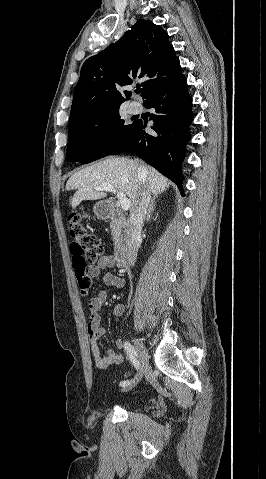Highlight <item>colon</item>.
Here are the masks:
<instances>
[{
  "instance_id": "colon-1",
  "label": "colon",
  "mask_w": 266,
  "mask_h": 479,
  "mask_svg": "<svg viewBox=\"0 0 266 479\" xmlns=\"http://www.w3.org/2000/svg\"><path fill=\"white\" fill-rule=\"evenodd\" d=\"M68 223L70 236L73 239L70 245L73 269L81 293L87 295L93 285L87 269L94 267L102 256L103 245L100 238L86 228L80 214H70Z\"/></svg>"
}]
</instances>
